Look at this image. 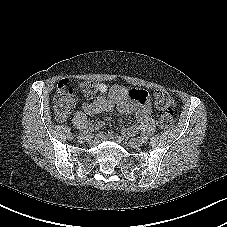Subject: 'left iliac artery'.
<instances>
[{"instance_id": "1", "label": "left iliac artery", "mask_w": 227, "mask_h": 227, "mask_svg": "<svg viewBox=\"0 0 227 227\" xmlns=\"http://www.w3.org/2000/svg\"><path fill=\"white\" fill-rule=\"evenodd\" d=\"M139 138L143 141V143L148 140V137L145 134H142Z\"/></svg>"}]
</instances>
